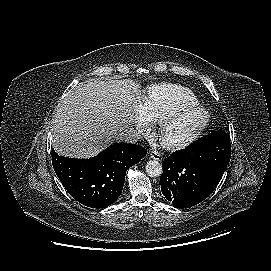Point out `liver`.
Returning a JSON list of instances; mask_svg holds the SVG:
<instances>
[{
    "label": "liver",
    "instance_id": "obj_1",
    "mask_svg": "<svg viewBox=\"0 0 271 271\" xmlns=\"http://www.w3.org/2000/svg\"><path fill=\"white\" fill-rule=\"evenodd\" d=\"M140 85L130 79H89L78 84L56 109L52 145L75 158L97 155L134 120Z\"/></svg>",
    "mask_w": 271,
    "mask_h": 271
}]
</instances>
